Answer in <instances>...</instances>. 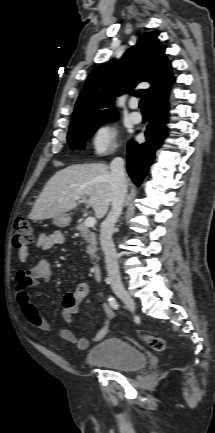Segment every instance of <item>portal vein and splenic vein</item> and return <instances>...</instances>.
Returning a JSON list of instances; mask_svg holds the SVG:
<instances>
[{"instance_id":"obj_1","label":"portal vein and splenic vein","mask_w":215,"mask_h":433,"mask_svg":"<svg viewBox=\"0 0 215 433\" xmlns=\"http://www.w3.org/2000/svg\"><path fill=\"white\" fill-rule=\"evenodd\" d=\"M75 199H76V200H79L80 197H79V196H76ZM84 224H85L87 227H93V226L96 224V219H95L94 217H87V218L85 219V221H84Z\"/></svg>"}]
</instances>
